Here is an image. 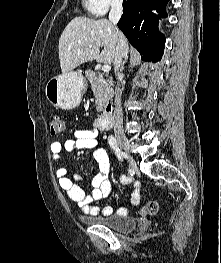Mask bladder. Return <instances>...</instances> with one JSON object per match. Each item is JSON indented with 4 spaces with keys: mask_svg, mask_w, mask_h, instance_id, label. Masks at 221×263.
I'll return each instance as SVG.
<instances>
[{
    "mask_svg": "<svg viewBox=\"0 0 221 263\" xmlns=\"http://www.w3.org/2000/svg\"><path fill=\"white\" fill-rule=\"evenodd\" d=\"M83 220L116 232H129L137 227V221L134 218L121 215L86 217Z\"/></svg>",
    "mask_w": 221,
    "mask_h": 263,
    "instance_id": "1",
    "label": "bladder"
}]
</instances>
